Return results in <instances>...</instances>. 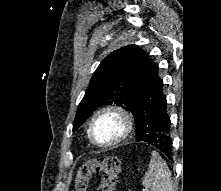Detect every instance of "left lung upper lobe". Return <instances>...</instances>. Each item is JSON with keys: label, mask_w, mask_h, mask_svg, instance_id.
Instances as JSON below:
<instances>
[{"label": "left lung upper lobe", "mask_w": 221, "mask_h": 191, "mask_svg": "<svg viewBox=\"0 0 221 191\" xmlns=\"http://www.w3.org/2000/svg\"><path fill=\"white\" fill-rule=\"evenodd\" d=\"M144 54L137 45H128L113 51L100 63L78 106L73 131L102 105L115 103L133 112L132 89Z\"/></svg>", "instance_id": "5c2ea615"}]
</instances>
